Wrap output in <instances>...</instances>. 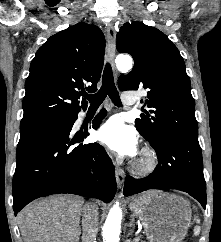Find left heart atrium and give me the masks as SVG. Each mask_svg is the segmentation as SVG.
<instances>
[{"mask_svg": "<svg viewBox=\"0 0 221 242\" xmlns=\"http://www.w3.org/2000/svg\"><path fill=\"white\" fill-rule=\"evenodd\" d=\"M100 142L110 149L124 155H134L138 140L134 129L119 116L111 117L98 130Z\"/></svg>", "mask_w": 221, "mask_h": 242, "instance_id": "39dd6f15", "label": "left heart atrium"}]
</instances>
